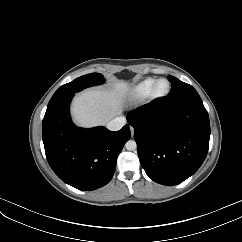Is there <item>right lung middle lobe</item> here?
Listing matches in <instances>:
<instances>
[{"mask_svg":"<svg viewBox=\"0 0 242 242\" xmlns=\"http://www.w3.org/2000/svg\"><path fill=\"white\" fill-rule=\"evenodd\" d=\"M105 81L103 76L99 73H91L81 77L76 78L70 83L62 85L52 96L51 100L58 98L60 96L76 93L84 88L102 84Z\"/></svg>","mask_w":242,"mask_h":242,"instance_id":"dd1d6c3e","label":"right lung middle lobe"}]
</instances>
